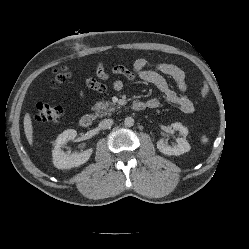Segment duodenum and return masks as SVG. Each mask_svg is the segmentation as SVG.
I'll return each mask as SVG.
<instances>
[{
  "label": "duodenum",
  "instance_id": "obj_1",
  "mask_svg": "<svg viewBox=\"0 0 249 249\" xmlns=\"http://www.w3.org/2000/svg\"><path fill=\"white\" fill-rule=\"evenodd\" d=\"M146 104L142 101H136L132 104V108L135 111H142L146 108ZM93 122V116L91 114H84L81 118H80V125L83 128H88L91 126Z\"/></svg>",
  "mask_w": 249,
  "mask_h": 249
}]
</instances>
